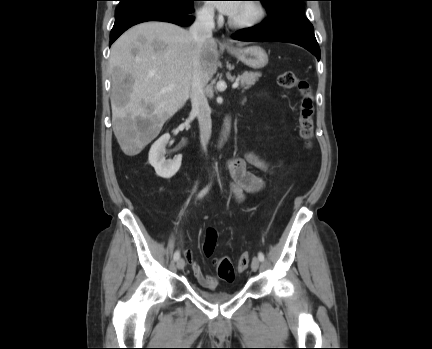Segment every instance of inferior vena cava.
<instances>
[{
    "label": "inferior vena cava",
    "instance_id": "inferior-vena-cava-1",
    "mask_svg": "<svg viewBox=\"0 0 432 349\" xmlns=\"http://www.w3.org/2000/svg\"><path fill=\"white\" fill-rule=\"evenodd\" d=\"M214 10L205 8L197 12L196 19L191 25L189 33L198 46L212 39L214 29ZM206 80L204 79L201 65L197 59L193 63L192 84L190 98L192 112L196 114L200 127V141L207 145L212 129L211 110L205 95Z\"/></svg>",
    "mask_w": 432,
    "mask_h": 349
}]
</instances>
